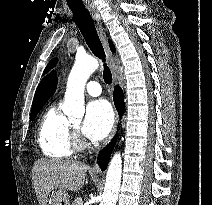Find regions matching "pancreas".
<instances>
[{
  "label": "pancreas",
  "instance_id": "pancreas-1",
  "mask_svg": "<svg viewBox=\"0 0 212 205\" xmlns=\"http://www.w3.org/2000/svg\"><path fill=\"white\" fill-rule=\"evenodd\" d=\"M72 205H83V201H82L81 198H77V199L74 200Z\"/></svg>",
  "mask_w": 212,
  "mask_h": 205
}]
</instances>
